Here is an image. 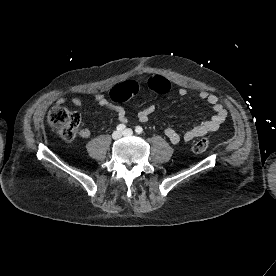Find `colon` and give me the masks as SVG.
<instances>
[{"label": "colon", "instance_id": "5ec220e1", "mask_svg": "<svg viewBox=\"0 0 276 276\" xmlns=\"http://www.w3.org/2000/svg\"><path fill=\"white\" fill-rule=\"evenodd\" d=\"M168 88L169 84L166 80L161 79ZM152 87L155 84H151ZM113 97L129 98V93L121 87H115L111 91ZM48 123L54 128L65 142H72L77 134L80 125V115L76 112L68 110L62 105L53 106L48 113ZM209 148V141L207 139H200L193 145L195 153H203Z\"/></svg>", "mask_w": 276, "mask_h": 276}]
</instances>
